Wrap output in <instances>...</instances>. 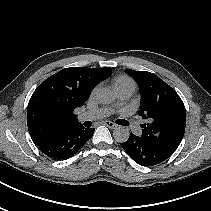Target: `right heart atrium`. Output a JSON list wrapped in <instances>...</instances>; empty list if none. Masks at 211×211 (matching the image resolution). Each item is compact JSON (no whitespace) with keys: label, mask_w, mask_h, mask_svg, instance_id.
Segmentation results:
<instances>
[{"label":"right heart atrium","mask_w":211,"mask_h":211,"mask_svg":"<svg viewBox=\"0 0 211 211\" xmlns=\"http://www.w3.org/2000/svg\"><path fill=\"white\" fill-rule=\"evenodd\" d=\"M96 92V88H94L93 90H92V94H94Z\"/></svg>","instance_id":"d8ad5b80"}]
</instances>
